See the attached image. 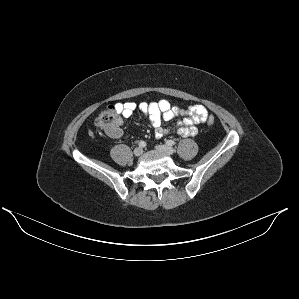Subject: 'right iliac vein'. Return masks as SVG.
Wrapping results in <instances>:
<instances>
[{"label":"right iliac vein","mask_w":299,"mask_h":299,"mask_svg":"<svg viewBox=\"0 0 299 299\" xmlns=\"http://www.w3.org/2000/svg\"><path fill=\"white\" fill-rule=\"evenodd\" d=\"M133 153L135 156H140L143 153V149L141 147H137L134 149Z\"/></svg>","instance_id":"right-iliac-vein-1"}]
</instances>
